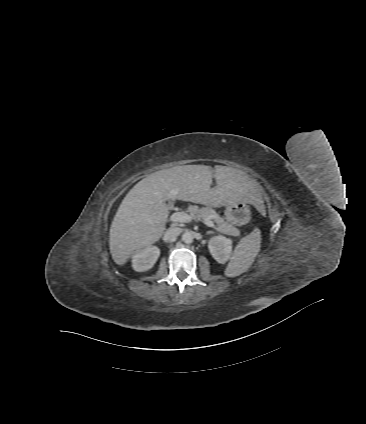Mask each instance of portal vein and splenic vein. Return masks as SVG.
<instances>
[{"instance_id": "obj_1", "label": "portal vein and splenic vein", "mask_w": 366, "mask_h": 424, "mask_svg": "<svg viewBox=\"0 0 366 424\" xmlns=\"http://www.w3.org/2000/svg\"><path fill=\"white\" fill-rule=\"evenodd\" d=\"M195 219L196 218L192 214H188V213H185V212H175L170 216L171 222L188 223V222H191ZM202 222L204 224H206L208 227L215 228V224H214L213 221H211L210 218H205V219L202 220Z\"/></svg>"}]
</instances>
